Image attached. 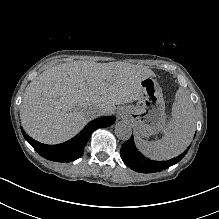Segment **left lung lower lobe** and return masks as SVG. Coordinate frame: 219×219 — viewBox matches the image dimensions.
Masks as SVG:
<instances>
[{
    "label": "left lung lower lobe",
    "instance_id": "left-lung-lower-lobe-1",
    "mask_svg": "<svg viewBox=\"0 0 219 219\" xmlns=\"http://www.w3.org/2000/svg\"><path fill=\"white\" fill-rule=\"evenodd\" d=\"M187 150L179 156L168 161H153L142 155L137 150L132 136L122 145L121 156L125 164L132 170L140 173H154L165 170L179 162L186 155Z\"/></svg>",
    "mask_w": 219,
    "mask_h": 219
}]
</instances>
